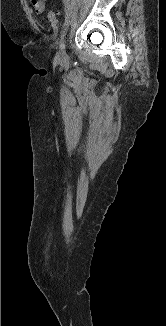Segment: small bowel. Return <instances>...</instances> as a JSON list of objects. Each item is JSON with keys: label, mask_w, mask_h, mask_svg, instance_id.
Returning <instances> with one entry per match:
<instances>
[{"label": "small bowel", "mask_w": 166, "mask_h": 326, "mask_svg": "<svg viewBox=\"0 0 166 326\" xmlns=\"http://www.w3.org/2000/svg\"><path fill=\"white\" fill-rule=\"evenodd\" d=\"M30 5L35 13L40 14L45 9V0H30Z\"/></svg>", "instance_id": "small-bowel-1"}]
</instances>
